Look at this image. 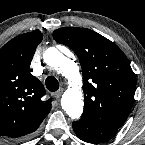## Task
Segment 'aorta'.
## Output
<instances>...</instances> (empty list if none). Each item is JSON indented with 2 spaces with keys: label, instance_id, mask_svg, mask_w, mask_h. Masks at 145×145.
Wrapping results in <instances>:
<instances>
[{
  "label": "aorta",
  "instance_id": "762f6f07",
  "mask_svg": "<svg viewBox=\"0 0 145 145\" xmlns=\"http://www.w3.org/2000/svg\"><path fill=\"white\" fill-rule=\"evenodd\" d=\"M44 61L47 65L61 68L64 76L72 86L62 95L61 105L65 113L72 119L80 118L83 112V96L79 86L81 76L75 64L54 47L44 52Z\"/></svg>",
  "mask_w": 145,
  "mask_h": 145
}]
</instances>
